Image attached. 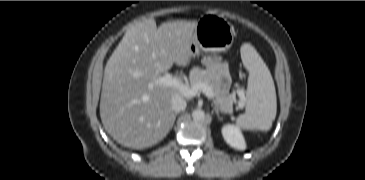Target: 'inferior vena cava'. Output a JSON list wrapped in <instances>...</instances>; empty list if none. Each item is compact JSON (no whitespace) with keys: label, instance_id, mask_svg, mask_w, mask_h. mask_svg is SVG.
Segmentation results:
<instances>
[{"label":"inferior vena cava","instance_id":"inferior-vena-cava-1","mask_svg":"<svg viewBox=\"0 0 365 180\" xmlns=\"http://www.w3.org/2000/svg\"><path fill=\"white\" fill-rule=\"evenodd\" d=\"M187 103L185 99L180 95H174L171 98V108L174 113H179L186 109Z\"/></svg>","mask_w":365,"mask_h":180}]
</instances>
